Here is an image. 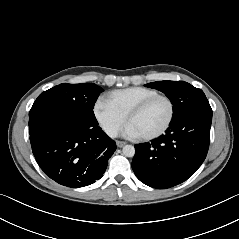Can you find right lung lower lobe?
<instances>
[{
  "mask_svg": "<svg viewBox=\"0 0 239 239\" xmlns=\"http://www.w3.org/2000/svg\"><path fill=\"white\" fill-rule=\"evenodd\" d=\"M36 161L57 183L79 188L99 180L116 150V143L97 125L45 126L30 134Z\"/></svg>",
  "mask_w": 239,
  "mask_h": 239,
  "instance_id": "98d812e1",
  "label": "right lung lower lobe"
}]
</instances>
